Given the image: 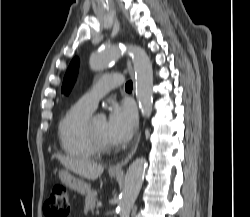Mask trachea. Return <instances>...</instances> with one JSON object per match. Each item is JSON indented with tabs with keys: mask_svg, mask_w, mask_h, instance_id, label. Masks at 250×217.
I'll return each instance as SVG.
<instances>
[{
	"mask_svg": "<svg viewBox=\"0 0 250 217\" xmlns=\"http://www.w3.org/2000/svg\"><path fill=\"white\" fill-rule=\"evenodd\" d=\"M133 88V84H132V81H128L125 85V89L126 90H132Z\"/></svg>",
	"mask_w": 250,
	"mask_h": 217,
	"instance_id": "trachea-1",
	"label": "trachea"
}]
</instances>
